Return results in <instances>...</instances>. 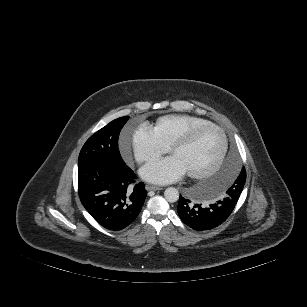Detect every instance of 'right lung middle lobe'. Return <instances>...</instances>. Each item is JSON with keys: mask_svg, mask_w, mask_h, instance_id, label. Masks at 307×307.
Masks as SVG:
<instances>
[{"mask_svg": "<svg viewBox=\"0 0 307 307\" xmlns=\"http://www.w3.org/2000/svg\"><path fill=\"white\" fill-rule=\"evenodd\" d=\"M128 119V116L115 119L94 133L81 149L78 166L92 162H103L117 167L125 165L118 149V138Z\"/></svg>", "mask_w": 307, "mask_h": 307, "instance_id": "obj_1", "label": "right lung middle lobe"}]
</instances>
